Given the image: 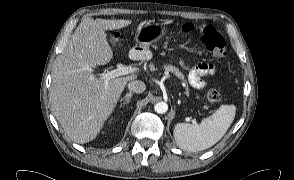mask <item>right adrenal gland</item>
Wrapping results in <instances>:
<instances>
[{
  "label": "right adrenal gland",
  "mask_w": 294,
  "mask_h": 180,
  "mask_svg": "<svg viewBox=\"0 0 294 180\" xmlns=\"http://www.w3.org/2000/svg\"><path fill=\"white\" fill-rule=\"evenodd\" d=\"M132 96H133V93H131V92L126 93V95L120 99L121 105H122V102L124 105L129 104Z\"/></svg>",
  "instance_id": "2a0ac1e0"
}]
</instances>
